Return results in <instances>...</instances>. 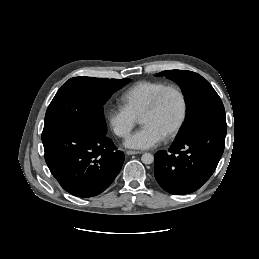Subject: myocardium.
Returning <instances> with one entry per match:
<instances>
[{
    "instance_id": "1",
    "label": "myocardium",
    "mask_w": 259,
    "mask_h": 259,
    "mask_svg": "<svg viewBox=\"0 0 259 259\" xmlns=\"http://www.w3.org/2000/svg\"><path fill=\"white\" fill-rule=\"evenodd\" d=\"M170 91H175L179 95L182 108H181V115H180V118H179L177 124L170 132H168L166 135H164V138H166V139H170V138L176 136L180 132V130L183 128L186 118H187V111H188L187 98H186L183 90L179 86L167 85L164 88H162L157 93V95L155 96V98L153 99L151 104L145 109V111L141 115V119H142L144 116H147V115H150V114L156 112L159 109V107L161 106V103H162L165 95Z\"/></svg>"
}]
</instances>
